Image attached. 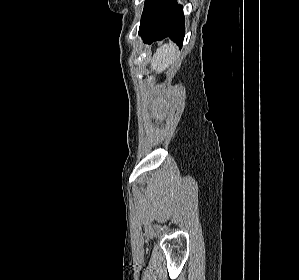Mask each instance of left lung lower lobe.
<instances>
[{"label":"left lung lower lobe","instance_id":"left-lung-lower-lobe-1","mask_svg":"<svg viewBox=\"0 0 299 280\" xmlns=\"http://www.w3.org/2000/svg\"><path fill=\"white\" fill-rule=\"evenodd\" d=\"M183 8L176 0H146L139 28L145 43L170 37L180 47L184 38Z\"/></svg>","mask_w":299,"mask_h":280}]
</instances>
